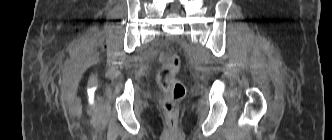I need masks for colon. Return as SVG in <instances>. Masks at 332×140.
<instances>
[{"label": "colon", "instance_id": "5ec220e1", "mask_svg": "<svg viewBox=\"0 0 332 140\" xmlns=\"http://www.w3.org/2000/svg\"><path fill=\"white\" fill-rule=\"evenodd\" d=\"M161 67L157 72V84L163 92L161 106L170 125L177 120L179 103L186 94L185 85L176 78L180 67V57L175 53L161 56Z\"/></svg>", "mask_w": 332, "mask_h": 140}]
</instances>
